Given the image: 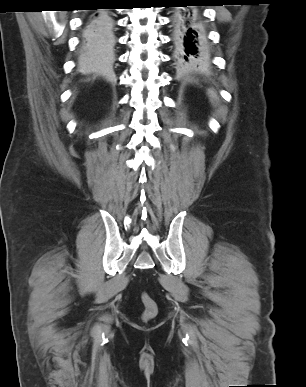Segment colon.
<instances>
[{
    "instance_id": "obj_1",
    "label": "colon",
    "mask_w": 306,
    "mask_h": 387,
    "mask_svg": "<svg viewBox=\"0 0 306 387\" xmlns=\"http://www.w3.org/2000/svg\"><path fill=\"white\" fill-rule=\"evenodd\" d=\"M141 300H142V303L144 305V311L142 313V318L145 321H149V320L153 319L157 314L156 302L146 292L142 293Z\"/></svg>"
}]
</instances>
